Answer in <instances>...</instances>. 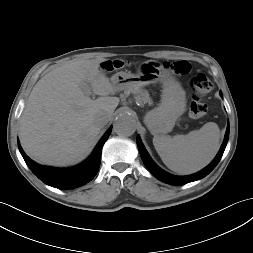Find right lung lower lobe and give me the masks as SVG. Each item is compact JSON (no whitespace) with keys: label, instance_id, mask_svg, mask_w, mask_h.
Listing matches in <instances>:
<instances>
[{"label":"right lung lower lobe","instance_id":"right-lung-lower-lobe-1","mask_svg":"<svg viewBox=\"0 0 253 253\" xmlns=\"http://www.w3.org/2000/svg\"><path fill=\"white\" fill-rule=\"evenodd\" d=\"M111 130L112 127L104 134L86 161L71 168L60 169L39 165L24 153L19 141L18 147L28 167L45 184L62 190L74 189L91 181L97 174L100 166L101 150Z\"/></svg>","mask_w":253,"mask_h":253}]
</instances>
